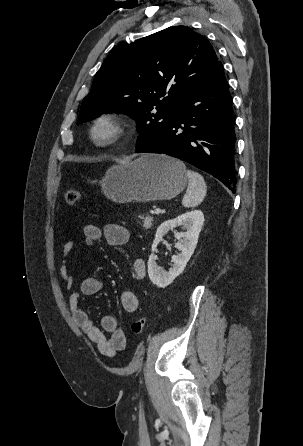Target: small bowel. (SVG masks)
Listing matches in <instances>:
<instances>
[{
    "label": "small bowel",
    "mask_w": 303,
    "mask_h": 446,
    "mask_svg": "<svg viewBox=\"0 0 303 446\" xmlns=\"http://www.w3.org/2000/svg\"><path fill=\"white\" fill-rule=\"evenodd\" d=\"M104 238L111 246L125 245L130 238L129 230L117 223H109L100 229L94 224H87L83 228V239L86 244L91 245ZM74 249V242L67 240L62 246V252L65 260L60 267V276L65 282L68 290L73 287V278L69 271L67 258ZM146 275V263L138 258L133 262V277L137 280L143 279ZM102 288V283L95 276H88L80 283L79 291H74L69 297V308L72 317L77 326L88 339L94 343L98 351L106 356L113 357L118 351L126 348L127 337L122 328L119 327L117 319L113 315H104L100 321V327L94 325L89 314L80 305V296H91L98 293ZM121 304L126 312L133 313L139 307V300L136 293L132 290L122 292ZM106 333L109 336H106Z\"/></svg>",
    "instance_id": "c3829d8e"
}]
</instances>
